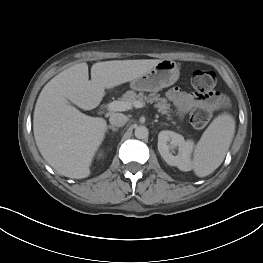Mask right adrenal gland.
<instances>
[{
  "label": "right adrenal gland",
  "instance_id": "right-adrenal-gland-1",
  "mask_svg": "<svg viewBox=\"0 0 263 263\" xmlns=\"http://www.w3.org/2000/svg\"><path fill=\"white\" fill-rule=\"evenodd\" d=\"M107 128L111 129L114 132H116L118 130V128H115L114 126H108Z\"/></svg>",
  "mask_w": 263,
  "mask_h": 263
}]
</instances>
